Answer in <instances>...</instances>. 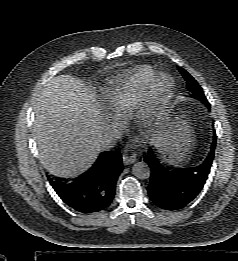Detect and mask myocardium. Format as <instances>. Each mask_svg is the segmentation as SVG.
<instances>
[{"label": "myocardium", "mask_w": 238, "mask_h": 261, "mask_svg": "<svg viewBox=\"0 0 238 261\" xmlns=\"http://www.w3.org/2000/svg\"><path fill=\"white\" fill-rule=\"evenodd\" d=\"M173 87V78L165 73H156L150 80L137 107L136 119L140 127L147 128L152 124V110L166 101Z\"/></svg>", "instance_id": "1"}]
</instances>
